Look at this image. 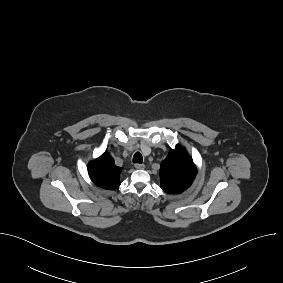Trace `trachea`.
<instances>
[{
  "label": "trachea",
  "instance_id": "1",
  "mask_svg": "<svg viewBox=\"0 0 283 283\" xmlns=\"http://www.w3.org/2000/svg\"><path fill=\"white\" fill-rule=\"evenodd\" d=\"M143 162V158L140 152H136L133 156V163L141 164Z\"/></svg>",
  "mask_w": 283,
  "mask_h": 283
}]
</instances>
